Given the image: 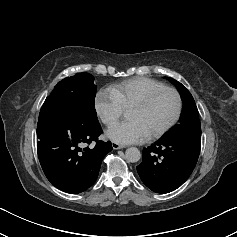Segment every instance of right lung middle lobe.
Here are the masks:
<instances>
[{
    "instance_id": "obj_1",
    "label": "right lung middle lobe",
    "mask_w": 237,
    "mask_h": 237,
    "mask_svg": "<svg viewBox=\"0 0 237 237\" xmlns=\"http://www.w3.org/2000/svg\"><path fill=\"white\" fill-rule=\"evenodd\" d=\"M89 73H78L58 82L41 110L59 113L74 123L98 124L94 107L96 85Z\"/></svg>"
}]
</instances>
